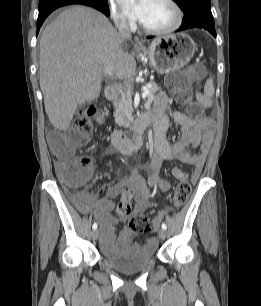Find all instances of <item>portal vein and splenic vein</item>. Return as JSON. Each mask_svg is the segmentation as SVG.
<instances>
[{
    "label": "portal vein and splenic vein",
    "instance_id": "obj_1",
    "mask_svg": "<svg viewBox=\"0 0 261 306\" xmlns=\"http://www.w3.org/2000/svg\"><path fill=\"white\" fill-rule=\"evenodd\" d=\"M128 92H131V90L129 89ZM142 97L143 98L148 97V101L146 103L148 106L153 101V96H149V86L148 85L145 87L144 92L142 93Z\"/></svg>",
    "mask_w": 261,
    "mask_h": 306
}]
</instances>
